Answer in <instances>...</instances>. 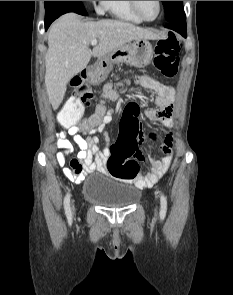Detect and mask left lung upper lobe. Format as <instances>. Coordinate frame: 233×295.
I'll return each mask as SVG.
<instances>
[{
    "label": "left lung upper lobe",
    "mask_w": 233,
    "mask_h": 295,
    "mask_svg": "<svg viewBox=\"0 0 233 295\" xmlns=\"http://www.w3.org/2000/svg\"><path fill=\"white\" fill-rule=\"evenodd\" d=\"M168 23L185 17L183 1H162Z\"/></svg>",
    "instance_id": "obj_1"
}]
</instances>
